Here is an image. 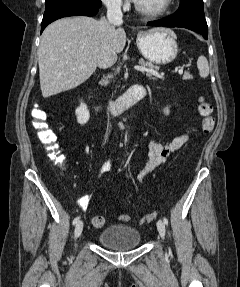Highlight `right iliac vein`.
I'll return each mask as SVG.
<instances>
[{"instance_id": "1", "label": "right iliac vein", "mask_w": 240, "mask_h": 287, "mask_svg": "<svg viewBox=\"0 0 240 287\" xmlns=\"http://www.w3.org/2000/svg\"><path fill=\"white\" fill-rule=\"evenodd\" d=\"M82 231H83V222L78 221V223L75 226V230H74L75 238H78L81 235Z\"/></svg>"}]
</instances>
